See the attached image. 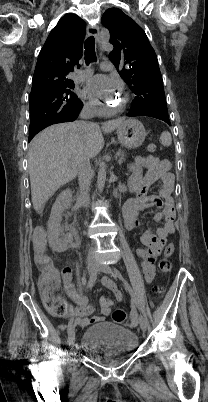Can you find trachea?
<instances>
[{
	"mask_svg": "<svg viewBox=\"0 0 208 402\" xmlns=\"http://www.w3.org/2000/svg\"><path fill=\"white\" fill-rule=\"evenodd\" d=\"M84 48L86 65H89L91 62H96L97 57L95 53V38L93 36H90L85 40Z\"/></svg>",
	"mask_w": 208,
	"mask_h": 402,
	"instance_id": "obj_1",
	"label": "trachea"
}]
</instances>
